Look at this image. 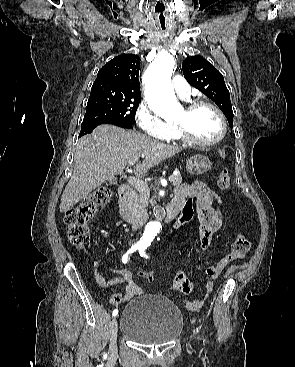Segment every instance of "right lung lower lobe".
<instances>
[{
	"label": "right lung lower lobe",
	"instance_id": "98d812e1",
	"mask_svg": "<svg viewBox=\"0 0 295 367\" xmlns=\"http://www.w3.org/2000/svg\"><path fill=\"white\" fill-rule=\"evenodd\" d=\"M113 125H116V126H119V127H122V128H126V129H132L133 128V124L126 123V122H116V123H113ZM96 126H98V125H96ZM96 126H92V127L87 128L85 131H81L80 136H82L84 134H87V133H91Z\"/></svg>",
	"mask_w": 295,
	"mask_h": 367
}]
</instances>
